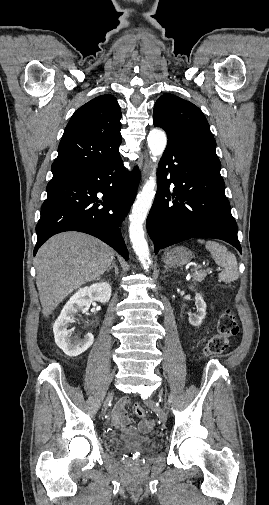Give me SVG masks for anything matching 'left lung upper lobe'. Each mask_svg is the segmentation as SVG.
I'll list each match as a JSON object with an SVG mask.
<instances>
[{
	"label": "left lung upper lobe",
	"mask_w": 269,
	"mask_h": 505,
	"mask_svg": "<svg viewBox=\"0 0 269 505\" xmlns=\"http://www.w3.org/2000/svg\"><path fill=\"white\" fill-rule=\"evenodd\" d=\"M153 124L167 134H179L216 149L215 139L202 111L173 94L162 95L155 103Z\"/></svg>",
	"instance_id": "left-lung-upper-lobe-1"
}]
</instances>
